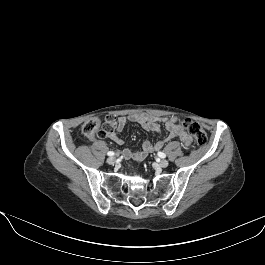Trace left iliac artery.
<instances>
[{"label": "left iliac artery", "instance_id": "1", "mask_svg": "<svg viewBox=\"0 0 265 265\" xmlns=\"http://www.w3.org/2000/svg\"><path fill=\"white\" fill-rule=\"evenodd\" d=\"M158 156L161 157V158H165L166 157V154L163 153V152H158Z\"/></svg>", "mask_w": 265, "mask_h": 265}]
</instances>
